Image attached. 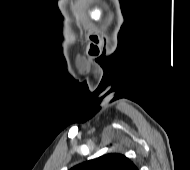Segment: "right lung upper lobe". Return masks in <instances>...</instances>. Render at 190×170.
<instances>
[{
	"label": "right lung upper lobe",
	"instance_id": "right-lung-upper-lobe-1",
	"mask_svg": "<svg viewBox=\"0 0 190 170\" xmlns=\"http://www.w3.org/2000/svg\"><path fill=\"white\" fill-rule=\"evenodd\" d=\"M70 170H138V168L124 155L110 153L78 164Z\"/></svg>",
	"mask_w": 190,
	"mask_h": 170
}]
</instances>
